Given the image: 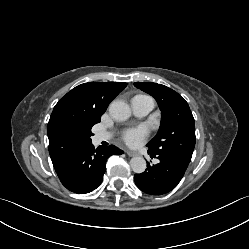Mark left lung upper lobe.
I'll list each match as a JSON object with an SVG mask.
<instances>
[{"label": "left lung upper lobe", "mask_w": 249, "mask_h": 249, "mask_svg": "<svg viewBox=\"0 0 249 249\" xmlns=\"http://www.w3.org/2000/svg\"><path fill=\"white\" fill-rule=\"evenodd\" d=\"M153 96L162 111L157 135L147 144L149 151L191 160L195 147V125L187 102L174 90L157 83H134Z\"/></svg>", "instance_id": "1"}]
</instances>
